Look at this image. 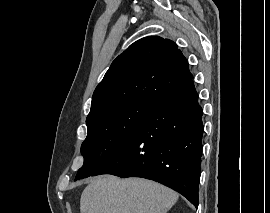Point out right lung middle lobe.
Listing matches in <instances>:
<instances>
[{
    "label": "right lung middle lobe",
    "instance_id": "obj_1",
    "mask_svg": "<svg viewBox=\"0 0 270 213\" xmlns=\"http://www.w3.org/2000/svg\"><path fill=\"white\" fill-rule=\"evenodd\" d=\"M155 105L135 100L86 120L88 134L81 146L84 164L75 180L93 176L131 138Z\"/></svg>",
    "mask_w": 270,
    "mask_h": 213
}]
</instances>
